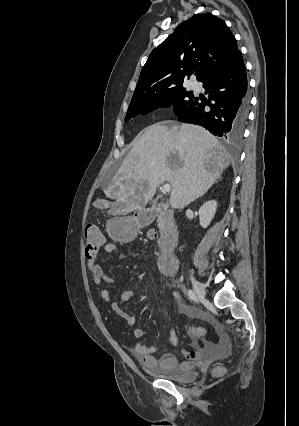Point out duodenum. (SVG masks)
Segmentation results:
<instances>
[{"label":"duodenum","mask_w":299,"mask_h":426,"mask_svg":"<svg viewBox=\"0 0 299 426\" xmlns=\"http://www.w3.org/2000/svg\"><path fill=\"white\" fill-rule=\"evenodd\" d=\"M169 211L159 206L156 208L142 211L137 216V222L140 225L150 223L156 218L169 219ZM178 233L173 224H167L164 236L160 242V257L158 266L160 271L165 275H173L177 270V257L175 249L177 246Z\"/></svg>","instance_id":"410a0bca"}]
</instances>
